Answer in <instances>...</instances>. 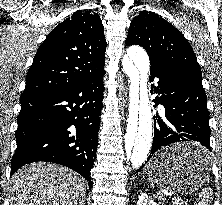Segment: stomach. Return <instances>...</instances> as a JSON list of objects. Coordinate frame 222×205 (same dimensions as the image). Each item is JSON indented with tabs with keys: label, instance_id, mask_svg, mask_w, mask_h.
Segmentation results:
<instances>
[{
	"label": "stomach",
	"instance_id": "1",
	"mask_svg": "<svg viewBox=\"0 0 222 205\" xmlns=\"http://www.w3.org/2000/svg\"><path fill=\"white\" fill-rule=\"evenodd\" d=\"M204 148L191 142H181L164 148L146 166L152 183L160 188L179 193L194 192L207 181L209 162L197 165H180L176 158L185 151H202Z\"/></svg>",
	"mask_w": 222,
	"mask_h": 205
}]
</instances>
